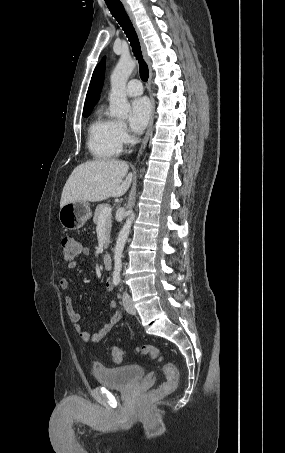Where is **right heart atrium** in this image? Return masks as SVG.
I'll return each mask as SVG.
<instances>
[{
	"label": "right heart atrium",
	"mask_w": 285,
	"mask_h": 453,
	"mask_svg": "<svg viewBox=\"0 0 285 453\" xmlns=\"http://www.w3.org/2000/svg\"><path fill=\"white\" fill-rule=\"evenodd\" d=\"M117 137L121 146L128 144L130 141L129 133L123 123H117Z\"/></svg>",
	"instance_id": "obj_1"
}]
</instances>
